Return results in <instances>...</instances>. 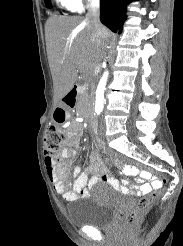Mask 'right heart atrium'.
I'll list each match as a JSON object with an SVG mask.
<instances>
[{
    "instance_id": "d8ad5b80",
    "label": "right heart atrium",
    "mask_w": 183,
    "mask_h": 246,
    "mask_svg": "<svg viewBox=\"0 0 183 246\" xmlns=\"http://www.w3.org/2000/svg\"><path fill=\"white\" fill-rule=\"evenodd\" d=\"M70 1L73 3L75 9H81L85 2L88 3V2H91V1H94V0H70Z\"/></svg>"
}]
</instances>
